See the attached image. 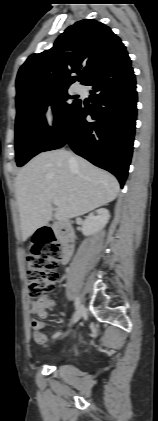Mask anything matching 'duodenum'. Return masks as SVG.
Instances as JSON below:
<instances>
[{
  "mask_svg": "<svg viewBox=\"0 0 158 421\" xmlns=\"http://www.w3.org/2000/svg\"><path fill=\"white\" fill-rule=\"evenodd\" d=\"M42 232L51 233L55 230L58 235L62 246V263H66L74 250L75 234L74 230L66 220L55 221L50 225L43 227Z\"/></svg>",
  "mask_w": 158,
  "mask_h": 421,
  "instance_id": "1",
  "label": "duodenum"
}]
</instances>
